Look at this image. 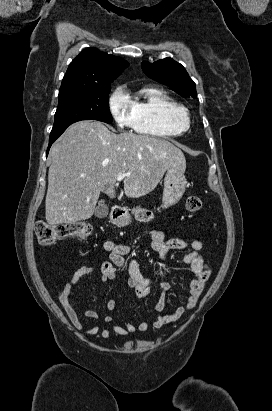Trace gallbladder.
<instances>
[{
    "label": "gallbladder",
    "instance_id": "bac80fb5",
    "mask_svg": "<svg viewBox=\"0 0 272 411\" xmlns=\"http://www.w3.org/2000/svg\"><path fill=\"white\" fill-rule=\"evenodd\" d=\"M108 212H109L108 206L104 203L103 200H101L98 206L96 207L95 216L97 218H105L107 217Z\"/></svg>",
    "mask_w": 272,
    "mask_h": 411
}]
</instances>
